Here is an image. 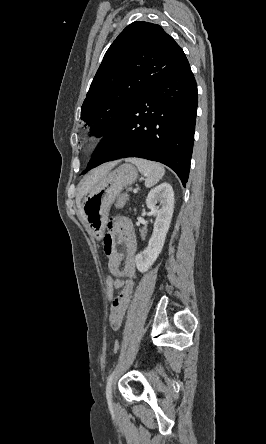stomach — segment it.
<instances>
[{"label":"stomach","mask_w":266,"mask_h":444,"mask_svg":"<svg viewBox=\"0 0 266 444\" xmlns=\"http://www.w3.org/2000/svg\"><path fill=\"white\" fill-rule=\"evenodd\" d=\"M137 177L138 171L133 165L122 164L103 176L85 195L81 203V214L94 237L102 236L111 205L120 191L132 185Z\"/></svg>","instance_id":"obj_1"}]
</instances>
